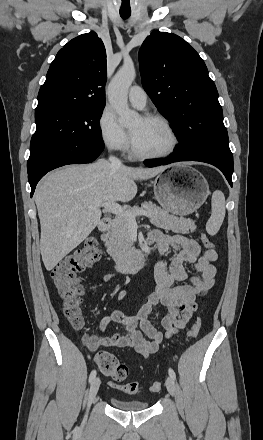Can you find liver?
<instances>
[{
    "label": "liver",
    "instance_id": "liver-1",
    "mask_svg": "<svg viewBox=\"0 0 263 440\" xmlns=\"http://www.w3.org/2000/svg\"><path fill=\"white\" fill-rule=\"evenodd\" d=\"M165 169L115 167L101 160L49 173L34 194L45 268L51 271L89 236L100 222L104 204L131 201L137 193L135 180L153 178Z\"/></svg>",
    "mask_w": 263,
    "mask_h": 440
}]
</instances>
